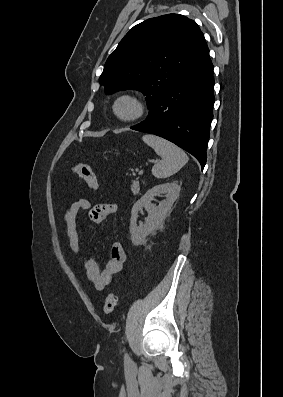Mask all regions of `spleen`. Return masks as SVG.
Instances as JSON below:
<instances>
[{
	"label": "spleen",
	"instance_id": "3e777b00",
	"mask_svg": "<svg viewBox=\"0 0 283 397\" xmlns=\"http://www.w3.org/2000/svg\"><path fill=\"white\" fill-rule=\"evenodd\" d=\"M142 140L162 158L152 168L153 176L158 179L172 176L188 162L187 154L168 140L151 134L144 135Z\"/></svg>",
	"mask_w": 283,
	"mask_h": 397
}]
</instances>
